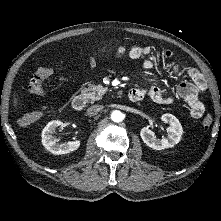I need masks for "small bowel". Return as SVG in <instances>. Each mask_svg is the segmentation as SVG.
<instances>
[{
    "mask_svg": "<svg viewBox=\"0 0 221 221\" xmlns=\"http://www.w3.org/2000/svg\"><path fill=\"white\" fill-rule=\"evenodd\" d=\"M115 53L120 57H129L131 59L144 58L143 69L146 76H151V70L155 65L156 50L148 46L133 45L129 48H122L120 46L112 47L105 45L101 50L93 53L87 61L88 67L93 69L97 64V58L107 53ZM165 59L172 58V52L165 50L162 53ZM175 70L179 72V68L176 66ZM188 80L180 83L177 87L178 97L186 104L189 113L192 118L199 119L205 112V107L201 101L200 95L206 90L207 85L202 74L195 68H189L187 70ZM134 91L139 100L145 96L150 97L154 102L159 104H172V96L165 90L157 87L148 88H134Z\"/></svg>",
    "mask_w": 221,
    "mask_h": 221,
    "instance_id": "1",
    "label": "small bowel"
}]
</instances>
